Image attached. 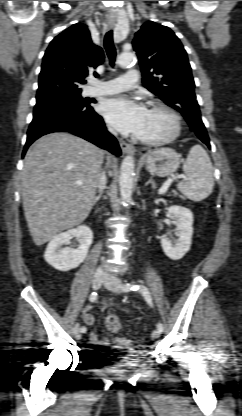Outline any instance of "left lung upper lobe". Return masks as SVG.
I'll list each match as a JSON object with an SVG mask.
<instances>
[{"label": "left lung upper lobe", "instance_id": "5c2ea615", "mask_svg": "<svg viewBox=\"0 0 242 416\" xmlns=\"http://www.w3.org/2000/svg\"><path fill=\"white\" fill-rule=\"evenodd\" d=\"M143 85L167 105L178 110L197 137H208L194 93L187 53L174 32L152 21L135 34Z\"/></svg>", "mask_w": 242, "mask_h": 416}]
</instances>
